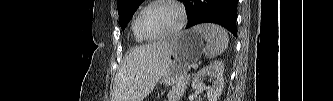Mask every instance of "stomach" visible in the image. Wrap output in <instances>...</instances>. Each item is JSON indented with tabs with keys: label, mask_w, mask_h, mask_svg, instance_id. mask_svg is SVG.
<instances>
[{
	"label": "stomach",
	"mask_w": 333,
	"mask_h": 101,
	"mask_svg": "<svg viewBox=\"0 0 333 101\" xmlns=\"http://www.w3.org/2000/svg\"><path fill=\"white\" fill-rule=\"evenodd\" d=\"M169 45L168 66L161 82L173 86L201 58L205 48L202 35L192 29L173 37L169 40Z\"/></svg>",
	"instance_id": "1"
}]
</instances>
